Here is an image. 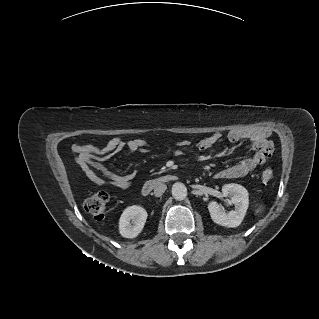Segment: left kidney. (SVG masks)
I'll list each match as a JSON object with an SVG mask.
<instances>
[{
	"label": "left kidney",
	"instance_id": "obj_1",
	"mask_svg": "<svg viewBox=\"0 0 319 319\" xmlns=\"http://www.w3.org/2000/svg\"><path fill=\"white\" fill-rule=\"evenodd\" d=\"M224 196H230L235 210L226 212L223 206L216 201L208 204V210L212 220L221 226L234 228L241 224L249 206V194L246 188L238 184H226L222 187Z\"/></svg>",
	"mask_w": 319,
	"mask_h": 319
}]
</instances>
